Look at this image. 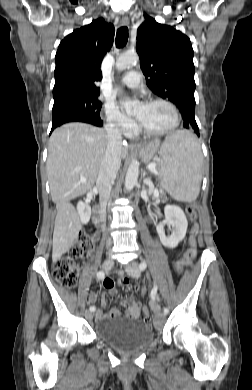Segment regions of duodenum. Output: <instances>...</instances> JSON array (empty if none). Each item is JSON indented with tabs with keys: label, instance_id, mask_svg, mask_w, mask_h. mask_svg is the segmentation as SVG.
<instances>
[{
	"label": "duodenum",
	"instance_id": "duodenum-1",
	"mask_svg": "<svg viewBox=\"0 0 252 390\" xmlns=\"http://www.w3.org/2000/svg\"><path fill=\"white\" fill-rule=\"evenodd\" d=\"M100 222H101V216H100V214H98V215L95 217V223H96V224H100Z\"/></svg>",
	"mask_w": 252,
	"mask_h": 390
}]
</instances>
